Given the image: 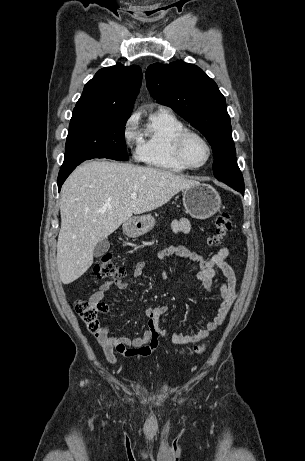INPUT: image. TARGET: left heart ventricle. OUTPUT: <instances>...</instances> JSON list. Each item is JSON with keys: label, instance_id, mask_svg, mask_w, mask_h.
I'll use <instances>...</instances> for the list:
<instances>
[{"label": "left heart ventricle", "instance_id": "1", "mask_svg": "<svg viewBox=\"0 0 305 461\" xmlns=\"http://www.w3.org/2000/svg\"><path fill=\"white\" fill-rule=\"evenodd\" d=\"M184 153L192 165L202 164L207 157V149L204 143L197 137L190 136L186 139Z\"/></svg>", "mask_w": 305, "mask_h": 461}]
</instances>
